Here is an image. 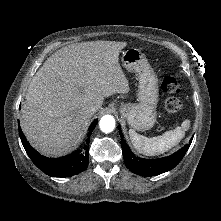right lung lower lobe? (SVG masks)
<instances>
[{"instance_id":"98d812e1","label":"right lung lower lobe","mask_w":221,"mask_h":221,"mask_svg":"<svg viewBox=\"0 0 221 221\" xmlns=\"http://www.w3.org/2000/svg\"><path fill=\"white\" fill-rule=\"evenodd\" d=\"M98 120H95L89 127L88 139L86 144L81 150L76 151L73 154L60 157V158H48L39 154L26 140L23 132L19 127V135L24 146V149L33 163L42 170L45 174L52 177H70L84 171L89 163V140L91 133Z\"/></svg>"}]
</instances>
